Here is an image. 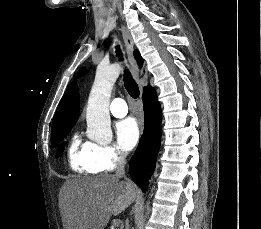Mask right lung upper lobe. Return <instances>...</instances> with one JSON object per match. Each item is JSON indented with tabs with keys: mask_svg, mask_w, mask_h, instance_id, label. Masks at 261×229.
Returning <instances> with one entry per match:
<instances>
[{
	"mask_svg": "<svg viewBox=\"0 0 261 229\" xmlns=\"http://www.w3.org/2000/svg\"><path fill=\"white\" fill-rule=\"evenodd\" d=\"M135 58L140 66L143 59L138 51L134 52ZM79 116V94L77 85L70 84L61 99L53 118L52 127L62 124H75ZM53 145V142H52Z\"/></svg>",
	"mask_w": 261,
	"mask_h": 229,
	"instance_id": "right-lung-upper-lobe-1",
	"label": "right lung upper lobe"
}]
</instances>
